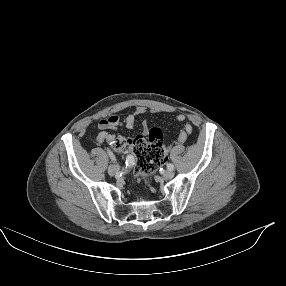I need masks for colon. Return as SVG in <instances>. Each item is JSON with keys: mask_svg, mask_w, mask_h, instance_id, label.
<instances>
[{"mask_svg": "<svg viewBox=\"0 0 286 286\" xmlns=\"http://www.w3.org/2000/svg\"><path fill=\"white\" fill-rule=\"evenodd\" d=\"M163 138L162 130L153 127L146 137L141 135L135 138L115 136L111 141V146L116 151L134 154L137 160V173L147 177L165 160Z\"/></svg>", "mask_w": 286, "mask_h": 286, "instance_id": "obj_1", "label": "colon"}]
</instances>
